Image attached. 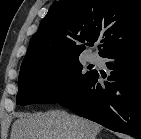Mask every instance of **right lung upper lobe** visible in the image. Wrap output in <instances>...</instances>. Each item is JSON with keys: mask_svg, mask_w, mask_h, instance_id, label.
<instances>
[{"mask_svg": "<svg viewBox=\"0 0 141 139\" xmlns=\"http://www.w3.org/2000/svg\"><path fill=\"white\" fill-rule=\"evenodd\" d=\"M102 39L99 55L141 39V0H61L30 41L21 69L78 58Z\"/></svg>", "mask_w": 141, "mask_h": 139, "instance_id": "cb5924a9", "label": "right lung upper lobe"}]
</instances>
